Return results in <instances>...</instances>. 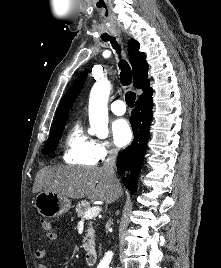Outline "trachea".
Here are the masks:
<instances>
[{
    "label": "trachea",
    "instance_id": "3493384b",
    "mask_svg": "<svg viewBox=\"0 0 221 268\" xmlns=\"http://www.w3.org/2000/svg\"><path fill=\"white\" fill-rule=\"evenodd\" d=\"M106 41H110L113 48L116 50V52L118 54H120L121 52V47L120 45L116 42L115 38H110L107 39ZM119 68L121 70L120 72V80L123 86H129L132 83V72H131V67L128 65V63L125 60H120L119 61ZM125 99H126V104L129 107H133L134 106V102L136 99V94L128 91L125 95Z\"/></svg>",
    "mask_w": 221,
    "mask_h": 268
}]
</instances>
